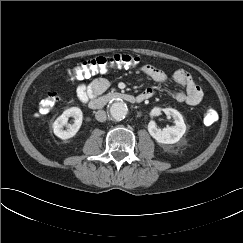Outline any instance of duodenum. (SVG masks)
Returning <instances> with one entry per match:
<instances>
[{"label": "duodenum", "instance_id": "1", "mask_svg": "<svg viewBox=\"0 0 243 243\" xmlns=\"http://www.w3.org/2000/svg\"><path fill=\"white\" fill-rule=\"evenodd\" d=\"M114 100H123L129 103H140L144 100V98L140 95L135 96L129 93L115 91V92H110L104 96L91 99L88 102V107L91 109H101L106 104Z\"/></svg>", "mask_w": 243, "mask_h": 243}]
</instances>
